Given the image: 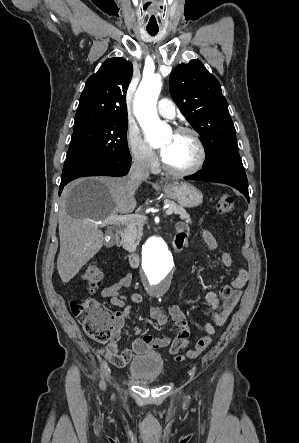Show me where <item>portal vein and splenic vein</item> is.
<instances>
[{
    "label": "portal vein and splenic vein",
    "mask_w": 299,
    "mask_h": 443,
    "mask_svg": "<svg viewBox=\"0 0 299 443\" xmlns=\"http://www.w3.org/2000/svg\"><path fill=\"white\" fill-rule=\"evenodd\" d=\"M173 214V211L171 209L166 210V215L170 216ZM137 219H146L144 215L136 214V215H112L107 217L104 220L97 221V222H91L90 224L95 227H103L107 224L111 225H124V224H131Z\"/></svg>",
    "instance_id": "portal-vein-and-splenic-vein-1"
}]
</instances>
